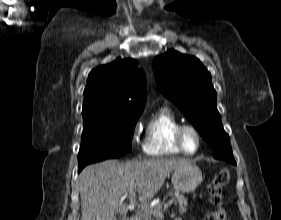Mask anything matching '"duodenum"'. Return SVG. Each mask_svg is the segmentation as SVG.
<instances>
[{"mask_svg":"<svg viewBox=\"0 0 281 220\" xmlns=\"http://www.w3.org/2000/svg\"><path fill=\"white\" fill-rule=\"evenodd\" d=\"M129 220H139L137 217H131Z\"/></svg>","mask_w":281,"mask_h":220,"instance_id":"duodenum-1","label":"duodenum"}]
</instances>
